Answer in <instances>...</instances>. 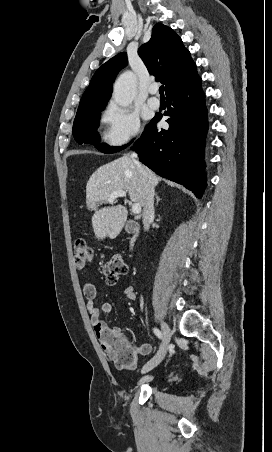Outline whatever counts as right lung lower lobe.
<instances>
[{
    "instance_id": "right-lung-lower-lobe-1",
    "label": "right lung lower lobe",
    "mask_w": 272,
    "mask_h": 452,
    "mask_svg": "<svg viewBox=\"0 0 272 452\" xmlns=\"http://www.w3.org/2000/svg\"><path fill=\"white\" fill-rule=\"evenodd\" d=\"M168 130H158L155 116L134 149L158 175L184 185L200 198L206 187L204 144L208 130L205 94L197 76L167 97Z\"/></svg>"
}]
</instances>
